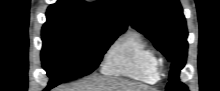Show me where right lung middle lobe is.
Returning <instances> with one entry per match:
<instances>
[{
  "label": "right lung middle lobe",
  "mask_w": 220,
  "mask_h": 91,
  "mask_svg": "<svg viewBox=\"0 0 220 91\" xmlns=\"http://www.w3.org/2000/svg\"><path fill=\"white\" fill-rule=\"evenodd\" d=\"M121 33L80 25L43 26L41 59L50 77L47 88L93 72Z\"/></svg>",
  "instance_id": "1"
}]
</instances>
